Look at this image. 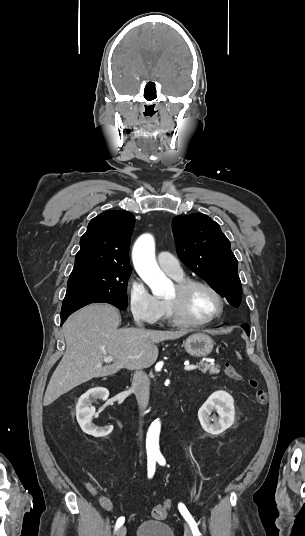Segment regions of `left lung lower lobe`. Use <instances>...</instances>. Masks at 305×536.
Returning a JSON list of instances; mask_svg holds the SVG:
<instances>
[{
	"label": "left lung lower lobe",
	"instance_id": "left-lung-lower-lobe-1",
	"mask_svg": "<svg viewBox=\"0 0 305 536\" xmlns=\"http://www.w3.org/2000/svg\"><path fill=\"white\" fill-rule=\"evenodd\" d=\"M242 327H243V329L246 331L247 335H249V334H250V327H249V325H248V324H243Z\"/></svg>",
	"mask_w": 305,
	"mask_h": 536
}]
</instances>
